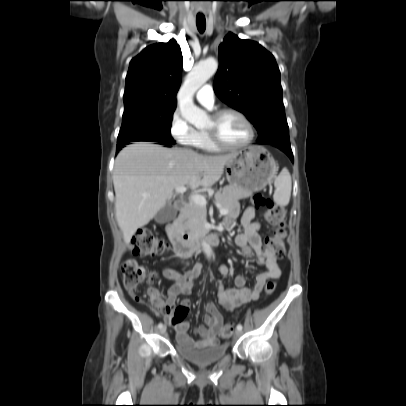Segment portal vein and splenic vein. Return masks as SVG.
Listing matches in <instances>:
<instances>
[{
	"label": "portal vein and splenic vein",
	"instance_id": "portal-vein-and-splenic-vein-1",
	"mask_svg": "<svg viewBox=\"0 0 406 406\" xmlns=\"http://www.w3.org/2000/svg\"><path fill=\"white\" fill-rule=\"evenodd\" d=\"M175 189H176V192H178V193H183V192H185V191L187 190V188H186L185 186L176 187ZM191 200H192L194 203H196V204H198V205H200V206H206V204H207V201H206L205 197L202 196V195L194 194V195L191 197ZM216 206L218 207L220 214L225 215V214L228 213V210L223 209V208L221 207V205L216 204Z\"/></svg>",
	"mask_w": 406,
	"mask_h": 406
}]
</instances>
